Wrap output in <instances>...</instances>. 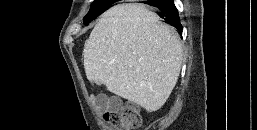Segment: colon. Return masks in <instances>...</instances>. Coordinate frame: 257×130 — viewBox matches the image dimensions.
<instances>
[{
  "label": "colon",
  "mask_w": 257,
  "mask_h": 130,
  "mask_svg": "<svg viewBox=\"0 0 257 130\" xmlns=\"http://www.w3.org/2000/svg\"><path fill=\"white\" fill-rule=\"evenodd\" d=\"M105 121L116 130H131L141 124V114L138 105L126 102L120 107L112 108L104 113Z\"/></svg>",
  "instance_id": "5ec220e1"
}]
</instances>
